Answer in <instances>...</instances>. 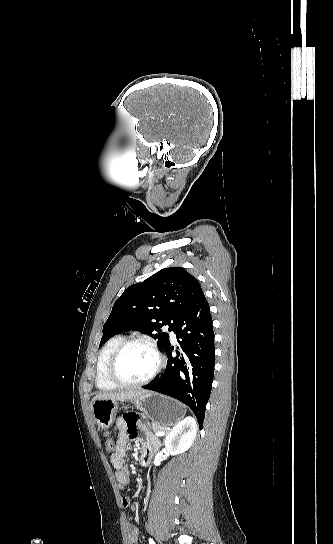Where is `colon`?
I'll use <instances>...</instances> for the list:
<instances>
[{
  "instance_id": "colon-1",
  "label": "colon",
  "mask_w": 333,
  "mask_h": 544,
  "mask_svg": "<svg viewBox=\"0 0 333 544\" xmlns=\"http://www.w3.org/2000/svg\"><path fill=\"white\" fill-rule=\"evenodd\" d=\"M104 443H105V447H106V449L108 451H113L114 441H113L112 437L108 433L104 434Z\"/></svg>"
}]
</instances>
